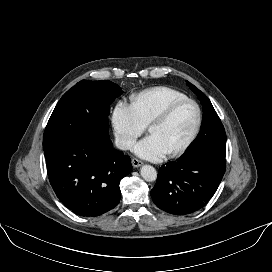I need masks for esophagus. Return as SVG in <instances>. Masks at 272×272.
<instances>
[{
    "label": "esophagus",
    "mask_w": 272,
    "mask_h": 272,
    "mask_svg": "<svg viewBox=\"0 0 272 272\" xmlns=\"http://www.w3.org/2000/svg\"><path fill=\"white\" fill-rule=\"evenodd\" d=\"M131 163H132L133 167H135V168L140 167L143 164L142 161H140L136 158H133L131 160Z\"/></svg>",
    "instance_id": "1"
}]
</instances>
